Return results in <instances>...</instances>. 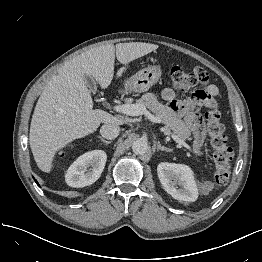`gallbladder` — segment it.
<instances>
[{"label": "gallbladder", "mask_w": 262, "mask_h": 262, "mask_svg": "<svg viewBox=\"0 0 262 262\" xmlns=\"http://www.w3.org/2000/svg\"><path fill=\"white\" fill-rule=\"evenodd\" d=\"M84 81H85V84L91 89V91L95 93L97 88H96V82L94 78L92 76L85 75Z\"/></svg>", "instance_id": "gallbladder-1"}]
</instances>
